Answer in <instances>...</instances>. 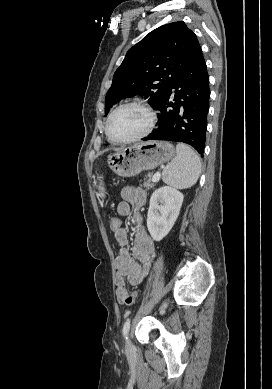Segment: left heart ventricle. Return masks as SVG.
<instances>
[{
    "mask_svg": "<svg viewBox=\"0 0 272 389\" xmlns=\"http://www.w3.org/2000/svg\"><path fill=\"white\" fill-rule=\"evenodd\" d=\"M148 118L143 110L135 106L120 109L111 119L109 130L114 139L122 140L140 133Z\"/></svg>",
    "mask_w": 272,
    "mask_h": 389,
    "instance_id": "b2bd125f",
    "label": "left heart ventricle"
}]
</instances>
